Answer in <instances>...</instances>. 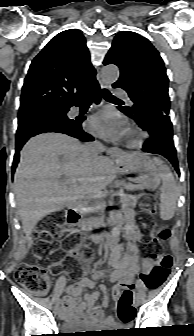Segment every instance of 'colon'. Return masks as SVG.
Here are the masks:
<instances>
[{
    "mask_svg": "<svg viewBox=\"0 0 194 336\" xmlns=\"http://www.w3.org/2000/svg\"><path fill=\"white\" fill-rule=\"evenodd\" d=\"M155 206L153 201L145 197L142 201V212L139 222L143 227L140 238V245L151 259L158 260L159 264L149 273L142 271L143 281L147 288L156 289L160 287L170 273L173 258L163 251L162 243L168 239L170 232L168 228L158 226L153 217ZM63 222L62 213H54L43 219L36 229V251L39 256H48L54 264L62 262L59 238L61 233L59 226ZM15 279L25 289L39 296L46 295L50 287L49 272L44 266L20 263L15 268ZM122 298H131V291L125 290Z\"/></svg>",
    "mask_w": 194,
    "mask_h": 336,
    "instance_id": "obj_1",
    "label": "colon"
}]
</instances>
